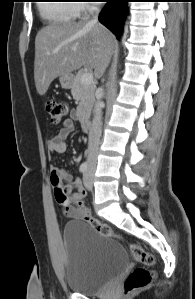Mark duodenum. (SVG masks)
<instances>
[{
    "instance_id": "1",
    "label": "duodenum",
    "mask_w": 195,
    "mask_h": 299,
    "mask_svg": "<svg viewBox=\"0 0 195 299\" xmlns=\"http://www.w3.org/2000/svg\"><path fill=\"white\" fill-rule=\"evenodd\" d=\"M79 119L84 128H88L91 125L90 116L86 113H80Z\"/></svg>"
}]
</instances>
